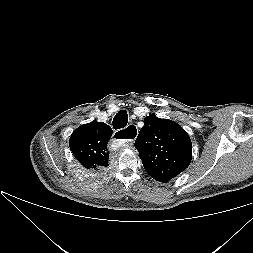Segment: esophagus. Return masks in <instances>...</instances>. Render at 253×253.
I'll list each match as a JSON object with an SVG mask.
<instances>
[{
  "label": "esophagus",
  "instance_id": "1",
  "mask_svg": "<svg viewBox=\"0 0 253 253\" xmlns=\"http://www.w3.org/2000/svg\"><path fill=\"white\" fill-rule=\"evenodd\" d=\"M122 130L114 132L113 137L115 140L120 141L122 144H127L133 142L136 139L138 134V129L136 125L130 124Z\"/></svg>",
  "mask_w": 253,
  "mask_h": 253
}]
</instances>
